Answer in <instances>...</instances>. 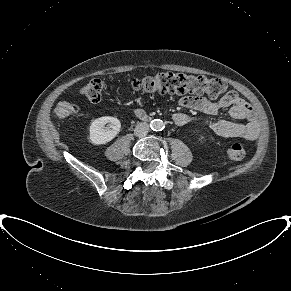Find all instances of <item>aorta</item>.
Here are the masks:
<instances>
[{"instance_id":"762f6f07","label":"aorta","mask_w":291,"mask_h":291,"mask_svg":"<svg viewBox=\"0 0 291 291\" xmlns=\"http://www.w3.org/2000/svg\"><path fill=\"white\" fill-rule=\"evenodd\" d=\"M150 127L154 131H161L164 129L165 124L162 120L160 119H154L150 122Z\"/></svg>"}]
</instances>
